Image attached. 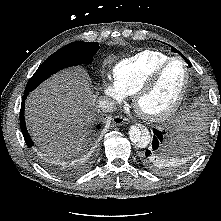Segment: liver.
<instances>
[{
    "instance_id": "1",
    "label": "liver",
    "mask_w": 221,
    "mask_h": 221,
    "mask_svg": "<svg viewBox=\"0 0 221 221\" xmlns=\"http://www.w3.org/2000/svg\"><path fill=\"white\" fill-rule=\"evenodd\" d=\"M95 102L83 69L62 71L29 95L25 107L27 129L49 156L70 158L79 153L96 119Z\"/></svg>"
}]
</instances>
